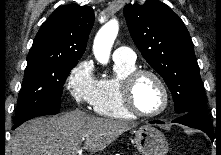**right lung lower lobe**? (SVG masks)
<instances>
[{
    "label": "right lung lower lobe",
    "instance_id": "obj_1",
    "mask_svg": "<svg viewBox=\"0 0 221 155\" xmlns=\"http://www.w3.org/2000/svg\"><path fill=\"white\" fill-rule=\"evenodd\" d=\"M59 112V110H56V111H46V112H42L38 115H36L35 117L37 116H44V115H54V114H57ZM25 122V121H24ZM23 122L21 123H18V124H14V127L13 128H16L18 127L19 125H21Z\"/></svg>",
    "mask_w": 221,
    "mask_h": 155
}]
</instances>
